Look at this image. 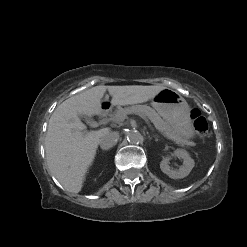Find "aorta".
Listing matches in <instances>:
<instances>
[{
    "label": "aorta",
    "instance_id": "aorta-1",
    "mask_svg": "<svg viewBox=\"0 0 247 247\" xmlns=\"http://www.w3.org/2000/svg\"><path fill=\"white\" fill-rule=\"evenodd\" d=\"M127 140L130 144L135 145V144L142 143L144 138L138 130L133 129L127 132Z\"/></svg>",
    "mask_w": 247,
    "mask_h": 247
}]
</instances>
